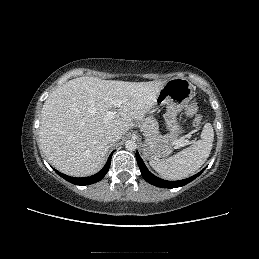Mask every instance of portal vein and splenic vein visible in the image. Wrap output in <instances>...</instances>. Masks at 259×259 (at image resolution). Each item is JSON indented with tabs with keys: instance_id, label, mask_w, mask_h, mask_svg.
Here are the masks:
<instances>
[{
	"instance_id": "1",
	"label": "portal vein and splenic vein",
	"mask_w": 259,
	"mask_h": 259,
	"mask_svg": "<svg viewBox=\"0 0 259 259\" xmlns=\"http://www.w3.org/2000/svg\"><path fill=\"white\" fill-rule=\"evenodd\" d=\"M113 105L115 106V107H120L121 106V104L123 103V101L122 100H114L113 102ZM117 116V111H108L107 113H106V115H105V118L106 119H114L115 117ZM183 142H185L184 140H179L178 142H177V144H181V143H183Z\"/></svg>"
}]
</instances>
